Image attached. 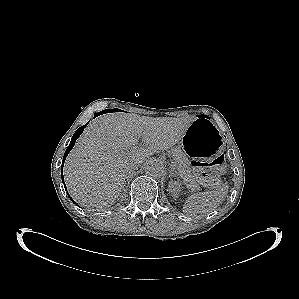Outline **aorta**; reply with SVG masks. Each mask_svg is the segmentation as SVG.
Masks as SVG:
<instances>
[{
  "label": "aorta",
  "mask_w": 299,
  "mask_h": 299,
  "mask_svg": "<svg viewBox=\"0 0 299 299\" xmlns=\"http://www.w3.org/2000/svg\"><path fill=\"white\" fill-rule=\"evenodd\" d=\"M165 166L159 160H151L145 165V172L151 177L160 178L165 174Z\"/></svg>",
  "instance_id": "aorta-1"
}]
</instances>
